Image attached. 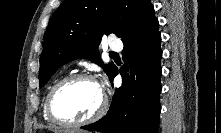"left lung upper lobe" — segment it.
Segmentation results:
<instances>
[{
  "instance_id": "5c2ea615",
  "label": "left lung upper lobe",
  "mask_w": 221,
  "mask_h": 133,
  "mask_svg": "<svg viewBox=\"0 0 221 133\" xmlns=\"http://www.w3.org/2000/svg\"><path fill=\"white\" fill-rule=\"evenodd\" d=\"M156 20L150 0H64L45 33L39 81L44 86L59 67L75 58H87L110 77L115 65H104L97 50L104 34L123 42ZM127 24L129 31L122 26Z\"/></svg>"
}]
</instances>
